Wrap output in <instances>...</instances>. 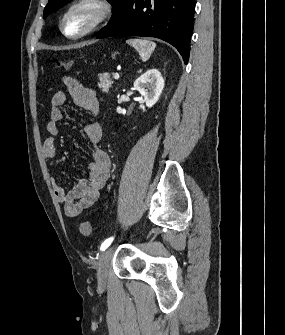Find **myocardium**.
Segmentation results:
<instances>
[{
  "label": "myocardium",
  "instance_id": "myocardium-1",
  "mask_svg": "<svg viewBox=\"0 0 285 335\" xmlns=\"http://www.w3.org/2000/svg\"><path fill=\"white\" fill-rule=\"evenodd\" d=\"M90 7L96 10L95 18L78 32H74L72 37H79L93 32L101 27L113 14V6L109 1H76L70 8L68 18L73 17L75 12L81 8Z\"/></svg>",
  "mask_w": 285,
  "mask_h": 335
}]
</instances>
